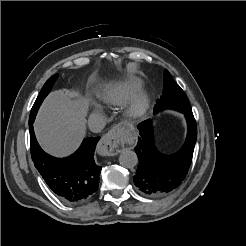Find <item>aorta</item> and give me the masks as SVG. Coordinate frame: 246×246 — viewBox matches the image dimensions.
Listing matches in <instances>:
<instances>
[{"mask_svg":"<svg viewBox=\"0 0 246 246\" xmlns=\"http://www.w3.org/2000/svg\"><path fill=\"white\" fill-rule=\"evenodd\" d=\"M119 162L123 167L133 168L138 163L137 154L131 150L123 151L119 156Z\"/></svg>","mask_w":246,"mask_h":246,"instance_id":"obj_1","label":"aorta"}]
</instances>
